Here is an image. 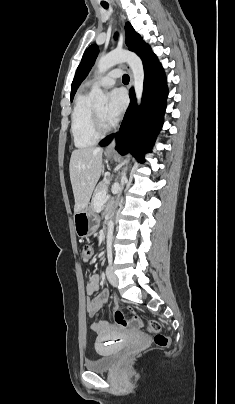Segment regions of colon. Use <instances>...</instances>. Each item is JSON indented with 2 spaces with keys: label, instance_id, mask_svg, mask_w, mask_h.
<instances>
[{
  "label": "colon",
  "instance_id": "5ec220e1",
  "mask_svg": "<svg viewBox=\"0 0 235 404\" xmlns=\"http://www.w3.org/2000/svg\"><path fill=\"white\" fill-rule=\"evenodd\" d=\"M93 249L89 245H83L81 250V256L84 261H89L92 258ZM115 322L121 327L133 326L142 327V321L137 317L127 319L125 314L121 310H117L114 315ZM160 323L158 321H150L146 326V331L154 335V343L157 347L165 348L169 345V337L160 333Z\"/></svg>",
  "mask_w": 235,
  "mask_h": 404
}]
</instances>
